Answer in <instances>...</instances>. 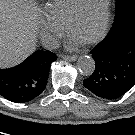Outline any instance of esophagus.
Segmentation results:
<instances>
[{
  "label": "esophagus",
  "instance_id": "esophagus-1",
  "mask_svg": "<svg viewBox=\"0 0 135 135\" xmlns=\"http://www.w3.org/2000/svg\"><path fill=\"white\" fill-rule=\"evenodd\" d=\"M61 58L67 61H76L77 60V56L76 55H61Z\"/></svg>",
  "mask_w": 135,
  "mask_h": 135
}]
</instances>
